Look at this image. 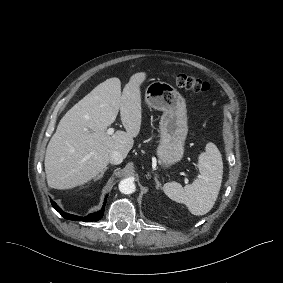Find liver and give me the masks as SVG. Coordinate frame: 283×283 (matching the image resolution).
<instances>
[{
  "label": "liver",
  "instance_id": "1",
  "mask_svg": "<svg viewBox=\"0 0 283 283\" xmlns=\"http://www.w3.org/2000/svg\"><path fill=\"white\" fill-rule=\"evenodd\" d=\"M144 72L131 76L121 93V82L110 78L96 86L60 120L45 155L48 186L70 189L96 177L109 163L110 153L126 158L141 126L140 85ZM120 117L125 131L106 130Z\"/></svg>",
  "mask_w": 283,
  "mask_h": 283
}]
</instances>
